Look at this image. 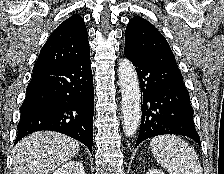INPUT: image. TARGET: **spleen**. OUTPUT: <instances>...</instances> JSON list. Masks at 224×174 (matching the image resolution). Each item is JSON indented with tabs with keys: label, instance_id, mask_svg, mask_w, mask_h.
Instances as JSON below:
<instances>
[{
	"label": "spleen",
	"instance_id": "obj_1",
	"mask_svg": "<svg viewBox=\"0 0 224 174\" xmlns=\"http://www.w3.org/2000/svg\"><path fill=\"white\" fill-rule=\"evenodd\" d=\"M157 163L169 174H202L197 153L176 135H161L150 142Z\"/></svg>",
	"mask_w": 224,
	"mask_h": 174
}]
</instances>
